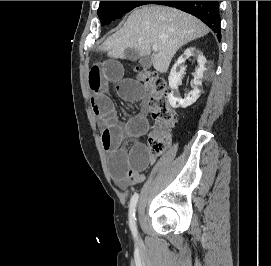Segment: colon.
Listing matches in <instances>:
<instances>
[{
  "label": "colon",
  "instance_id": "obj_1",
  "mask_svg": "<svg viewBox=\"0 0 271 266\" xmlns=\"http://www.w3.org/2000/svg\"><path fill=\"white\" fill-rule=\"evenodd\" d=\"M137 78L151 94L150 108L155 127L149 134L151 153L160 155L171 141L170 130L176 125L177 116L169 104L167 84L156 72L137 69Z\"/></svg>",
  "mask_w": 271,
  "mask_h": 266
}]
</instances>
